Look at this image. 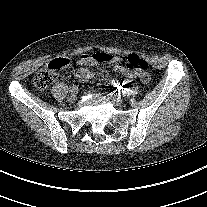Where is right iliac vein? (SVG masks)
Masks as SVG:
<instances>
[{"label":"right iliac vein","instance_id":"63e3f726","mask_svg":"<svg viewBox=\"0 0 207 207\" xmlns=\"http://www.w3.org/2000/svg\"><path fill=\"white\" fill-rule=\"evenodd\" d=\"M76 100H77L76 93H73L68 97V101L71 103L75 102Z\"/></svg>","mask_w":207,"mask_h":207}]
</instances>
